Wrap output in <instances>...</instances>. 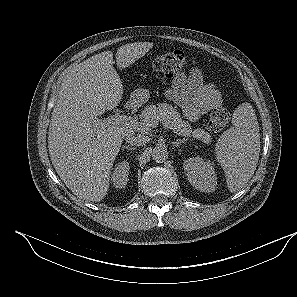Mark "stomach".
I'll return each mask as SVG.
<instances>
[{
    "label": "stomach",
    "mask_w": 297,
    "mask_h": 297,
    "mask_svg": "<svg viewBox=\"0 0 297 297\" xmlns=\"http://www.w3.org/2000/svg\"><path fill=\"white\" fill-rule=\"evenodd\" d=\"M150 98V92L147 89H136L131 94L132 102L140 105L147 102Z\"/></svg>",
    "instance_id": "obj_1"
}]
</instances>
